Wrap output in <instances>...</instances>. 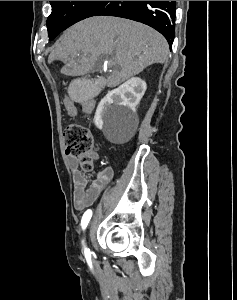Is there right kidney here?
<instances>
[{
    "label": "right kidney",
    "mask_w": 237,
    "mask_h": 300,
    "mask_svg": "<svg viewBox=\"0 0 237 300\" xmlns=\"http://www.w3.org/2000/svg\"><path fill=\"white\" fill-rule=\"evenodd\" d=\"M146 91V83L139 79V77H132L123 85H120L118 89L109 91L104 99H101L95 113L94 123L98 129L103 127V111L108 109L112 103L120 105V107H128L131 111H136L137 105H139L144 93Z\"/></svg>",
    "instance_id": "1"
}]
</instances>
